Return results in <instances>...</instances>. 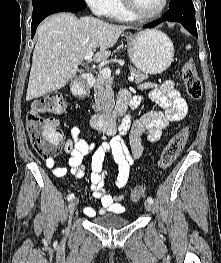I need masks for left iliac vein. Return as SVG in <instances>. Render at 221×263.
Listing matches in <instances>:
<instances>
[{"mask_svg":"<svg viewBox=\"0 0 221 263\" xmlns=\"http://www.w3.org/2000/svg\"><path fill=\"white\" fill-rule=\"evenodd\" d=\"M144 207H145V209H146L147 211H150V210L152 209V205H151V203H149L148 201H146V202L144 203Z\"/></svg>","mask_w":221,"mask_h":263,"instance_id":"obj_1","label":"left iliac vein"}]
</instances>
